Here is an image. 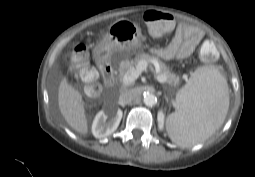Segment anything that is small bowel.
Returning a JSON list of instances; mask_svg holds the SVG:
<instances>
[{
	"mask_svg": "<svg viewBox=\"0 0 255 177\" xmlns=\"http://www.w3.org/2000/svg\"><path fill=\"white\" fill-rule=\"evenodd\" d=\"M203 38L204 31L202 29L187 24H179L170 43L165 47L153 48L152 52L166 60L185 59L192 55Z\"/></svg>",
	"mask_w": 255,
	"mask_h": 177,
	"instance_id": "1",
	"label": "small bowel"
}]
</instances>
